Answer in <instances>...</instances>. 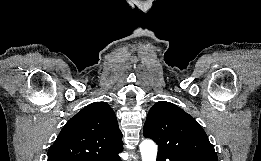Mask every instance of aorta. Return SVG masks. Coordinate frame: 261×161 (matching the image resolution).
Wrapping results in <instances>:
<instances>
[{
  "instance_id": "obj_1",
  "label": "aorta",
  "mask_w": 261,
  "mask_h": 161,
  "mask_svg": "<svg viewBox=\"0 0 261 161\" xmlns=\"http://www.w3.org/2000/svg\"><path fill=\"white\" fill-rule=\"evenodd\" d=\"M142 161H156L157 145L150 139H145L140 144Z\"/></svg>"
}]
</instances>
